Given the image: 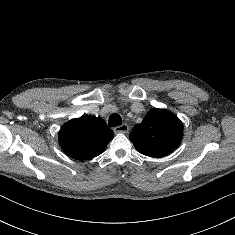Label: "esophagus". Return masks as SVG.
Here are the masks:
<instances>
[{
	"label": "esophagus",
	"mask_w": 235,
	"mask_h": 235,
	"mask_svg": "<svg viewBox=\"0 0 235 235\" xmlns=\"http://www.w3.org/2000/svg\"><path fill=\"white\" fill-rule=\"evenodd\" d=\"M128 130H129V127L126 123L114 128L115 133H127Z\"/></svg>",
	"instance_id": "esophagus-1"
}]
</instances>
